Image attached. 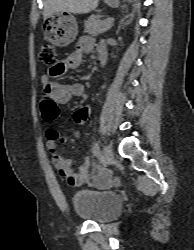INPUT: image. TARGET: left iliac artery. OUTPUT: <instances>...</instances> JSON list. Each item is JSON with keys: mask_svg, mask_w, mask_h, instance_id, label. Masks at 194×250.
<instances>
[{"mask_svg": "<svg viewBox=\"0 0 194 250\" xmlns=\"http://www.w3.org/2000/svg\"><path fill=\"white\" fill-rule=\"evenodd\" d=\"M93 155L94 156H99L100 155V148H99V142L96 141L94 146H93Z\"/></svg>", "mask_w": 194, "mask_h": 250, "instance_id": "44dca946", "label": "left iliac artery"}]
</instances>
